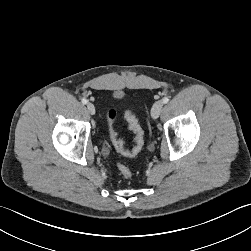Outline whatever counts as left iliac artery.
I'll list each match as a JSON object with an SVG mask.
<instances>
[{
	"label": "left iliac artery",
	"mask_w": 251,
	"mask_h": 251,
	"mask_svg": "<svg viewBox=\"0 0 251 251\" xmlns=\"http://www.w3.org/2000/svg\"><path fill=\"white\" fill-rule=\"evenodd\" d=\"M162 101H163L164 104H166V103L169 102V98L168 97H164Z\"/></svg>",
	"instance_id": "left-iliac-artery-1"
}]
</instances>
